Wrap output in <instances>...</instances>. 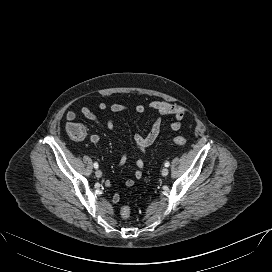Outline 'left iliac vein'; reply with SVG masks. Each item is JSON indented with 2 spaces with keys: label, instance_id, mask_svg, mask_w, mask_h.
Returning a JSON list of instances; mask_svg holds the SVG:
<instances>
[{
  "label": "left iliac vein",
  "instance_id": "obj_1",
  "mask_svg": "<svg viewBox=\"0 0 272 272\" xmlns=\"http://www.w3.org/2000/svg\"><path fill=\"white\" fill-rule=\"evenodd\" d=\"M168 173H169V170H168L167 168H163L162 171H161V174H162L163 176H167Z\"/></svg>",
  "mask_w": 272,
  "mask_h": 272
}]
</instances>
